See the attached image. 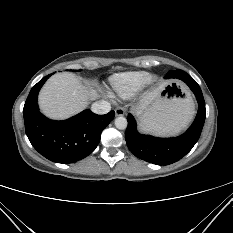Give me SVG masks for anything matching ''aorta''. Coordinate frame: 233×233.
<instances>
[{"mask_svg": "<svg viewBox=\"0 0 233 233\" xmlns=\"http://www.w3.org/2000/svg\"><path fill=\"white\" fill-rule=\"evenodd\" d=\"M127 120L125 117L123 116H119L115 119V126L116 128L120 129V130H124L127 128Z\"/></svg>", "mask_w": 233, "mask_h": 233, "instance_id": "1", "label": "aorta"}]
</instances>
